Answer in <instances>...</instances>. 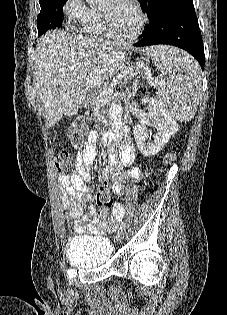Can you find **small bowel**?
<instances>
[{
  "label": "small bowel",
  "instance_id": "c3829d8e",
  "mask_svg": "<svg viewBox=\"0 0 227 315\" xmlns=\"http://www.w3.org/2000/svg\"><path fill=\"white\" fill-rule=\"evenodd\" d=\"M96 140V133L90 132L86 144L76 155L74 170L58 179L60 206L71 219L75 233L79 235L105 233L125 222L123 217L126 211L120 203L114 204L109 220L99 218L95 207L90 203L92 192L87 182L90 180L89 172L97 155ZM133 158V151L127 144L122 146L119 154L114 147L111 148L109 165L102 171V185H110L113 192L119 196L125 195L123 179H138L143 174V170L138 167H132L125 173L121 172L120 166L131 165Z\"/></svg>",
  "mask_w": 227,
  "mask_h": 315
}]
</instances>
